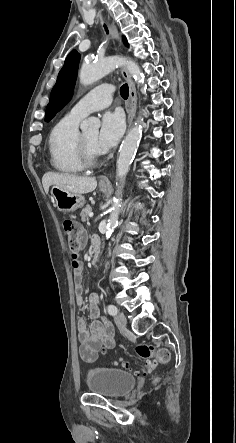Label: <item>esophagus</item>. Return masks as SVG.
I'll use <instances>...</instances> for the list:
<instances>
[{"label":"esophagus","instance_id":"obj_1","mask_svg":"<svg viewBox=\"0 0 236 443\" xmlns=\"http://www.w3.org/2000/svg\"><path fill=\"white\" fill-rule=\"evenodd\" d=\"M110 29H111V34H112V38L114 41L119 42L120 41V36L118 33V30L115 26V24L112 22L110 24ZM121 73L123 75V77L125 78V80L128 83L129 86V97H130V102H131V106H130V110L128 112V127H131L133 118L135 116V112H136V88H135V84L131 78V76L129 75V73L127 72V70L125 68H121ZM100 184H108L110 181L108 179L107 176H102L100 178Z\"/></svg>","mask_w":236,"mask_h":443}]
</instances>
